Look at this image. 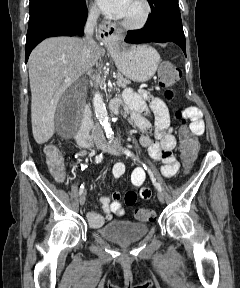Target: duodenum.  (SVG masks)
Segmentation results:
<instances>
[{
  "instance_id": "duodenum-1",
  "label": "duodenum",
  "mask_w": 240,
  "mask_h": 288,
  "mask_svg": "<svg viewBox=\"0 0 240 288\" xmlns=\"http://www.w3.org/2000/svg\"><path fill=\"white\" fill-rule=\"evenodd\" d=\"M110 109L114 113H118L120 109V101L117 99H114L110 103ZM91 117H90V111L88 108L84 109L83 116H82V123L81 127L78 130L76 134V141L80 146L84 147H91L92 146V138H91Z\"/></svg>"
}]
</instances>
